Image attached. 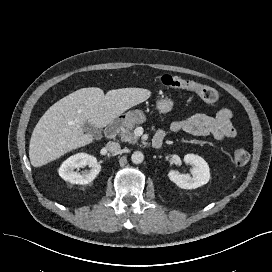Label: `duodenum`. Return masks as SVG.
Wrapping results in <instances>:
<instances>
[{
  "label": "duodenum",
  "mask_w": 272,
  "mask_h": 272,
  "mask_svg": "<svg viewBox=\"0 0 272 272\" xmlns=\"http://www.w3.org/2000/svg\"><path fill=\"white\" fill-rule=\"evenodd\" d=\"M121 121L114 120L105 129V136L108 140H113L117 136L120 128H121ZM152 146L155 149H160L163 146V138L159 136H155L152 140Z\"/></svg>",
  "instance_id": "410a0bca"
}]
</instances>
